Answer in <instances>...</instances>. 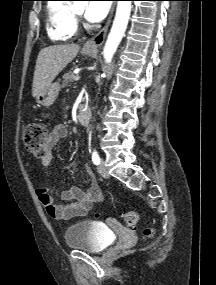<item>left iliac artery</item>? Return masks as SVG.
Wrapping results in <instances>:
<instances>
[{
  "label": "left iliac artery",
  "mask_w": 216,
  "mask_h": 285,
  "mask_svg": "<svg viewBox=\"0 0 216 285\" xmlns=\"http://www.w3.org/2000/svg\"><path fill=\"white\" fill-rule=\"evenodd\" d=\"M92 161L95 165H99L100 164V157L98 155V153L94 150L92 153Z\"/></svg>",
  "instance_id": "obj_1"
}]
</instances>
